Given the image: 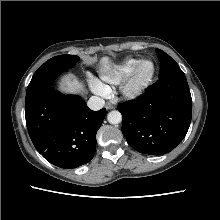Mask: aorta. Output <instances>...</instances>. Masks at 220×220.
I'll use <instances>...</instances> for the list:
<instances>
[{"label": "aorta", "mask_w": 220, "mask_h": 220, "mask_svg": "<svg viewBox=\"0 0 220 220\" xmlns=\"http://www.w3.org/2000/svg\"><path fill=\"white\" fill-rule=\"evenodd\" d=\"M107 120L111 124H119L122 121V115L119 111L113 110L108 113Z\"/></svg>", "instance_id": "1"}]
</instances>
